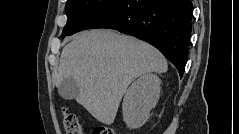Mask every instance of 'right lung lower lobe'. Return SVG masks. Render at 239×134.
Returning a JSON list of instances; mask_svg holds the SVG:
<instances>
[{"label": "right lung lower lobe", "instance_id": "obj_1", "mask_svg": "<svg viewBox=\"0 0 239 134\" xmlns=\"http://www.w3.org/2000/svg\"><path fill=\"white\" fill-rule=\"evenodd\" d=\"M193 5L191 0H116L83 30L106 28L155 46L182 77L188 58Z\"/></svg>", "mask_w": 239, "mask_h": 134}]
</instances>
